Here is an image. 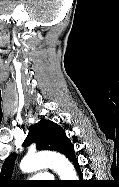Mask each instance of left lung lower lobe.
<instances>
[{
  "instance_id": "obj_1",
  "label": "left lung lower lobe",
  "mask_w": 119,
  "mask_h": 187,
  "mask_svg": "<svg viewBox=\"0 0 119 187\" xmlns=\"http://www.w3.org/2000/svg\"><path fill=\"white\" fill-rule=\"evenodd\" d=\"M66 157L74 165V167H75L78 175L80 176V178H82V172L80 170L79 163H78L76 155H75L74 146L71 147V149H70V151H69V153H68V155Z\"/></svg>"
}]
</instances>
